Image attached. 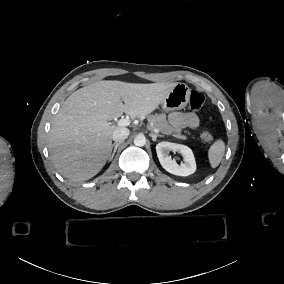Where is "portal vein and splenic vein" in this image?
<instances>
[{"label": "portal vein and splenic vein", "instance_id": "18ae733b", "mask_svg": "<svg viewBox=\"0 0 284 284\" xmlns=\"http://www.w3.org/2000/svg\"><path fill=\"white\" fill-rule=\"evenodd\" d=\"M129 123H130V121H128V120H126V119H120V120H118V122H117V126L126 127V126L129 125ZM155 132H156V133H160L159 130H155Z\"/></svg>", "mask_w": 284, "mask_h": 284}]
</instances>
